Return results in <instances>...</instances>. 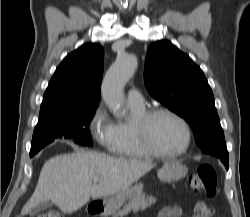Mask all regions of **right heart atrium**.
<instances>
[{
	"mask_svg": "<svg viewBox=\"0 0 250 217\" xmlns=\"http://www.w3.org/2000/svg\"><path fill=\"white\" fill-rule=\"evenodd\" d=\"M88 129L92 138L105 150L114 151L116 144V123L111 119L104 105L93 111Z\"/></svg>",
	"mask_w": 250,
	"mask_h": 217,
	"instance_id": "obj_1",
	"label": "right heart atrium"
}]
</instances>
